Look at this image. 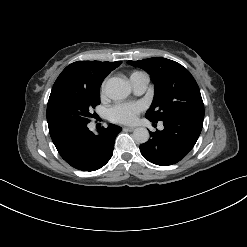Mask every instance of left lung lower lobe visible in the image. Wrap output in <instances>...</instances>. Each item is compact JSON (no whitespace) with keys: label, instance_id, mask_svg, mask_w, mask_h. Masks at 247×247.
<instances>
[{"label":"left lung lower lobe","instance_id":"0a47b994","mask_svg":"<svg viewBox=\"0 0 247 247\" xmlns=\"http://www.w3.org/2000/svg\"><path fill=\"white\" fill-rule=\"evenodd\" d=\"M162 131L150 132V139L140 145L142 156L151 163L166 166L179 162L195 145L203 119L173 116L163 120Z\"/></svg>","mask_w":247,"mask_h":247}]
</instances>
